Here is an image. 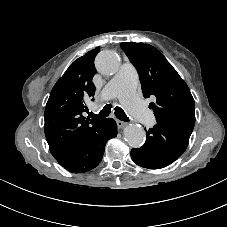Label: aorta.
Masks as SVG:
<instances>
[{
    "instance_id": "aorta-1",
    "label": "aorta",
    "mask_w": 227,
    "mask_h": 227,
    "mask_svg": "<svg viewBox=\"0 0 227 227\" xmlns=\"http://www.w3.org/2000/svg\"><path fill=\"white\" fill-rule=\"evenodd\" d=\"M95 64L101 74L114 75L120 68V58L116 52L104 50L97 55ZM123 135L127 143L134 148L142 146L146 138L144 129L137 124L127 125L124 128Z\"/></svg>"
}]
</instances>
